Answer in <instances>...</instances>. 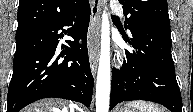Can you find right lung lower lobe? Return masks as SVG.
<instances>
[{
  "label": "right lung lower lobe",
  "instance_id": "98d812e1",
  "mask_svg": "<svg viewBox=\"0 0 193 112\" xmlns=\"http://www.w3.org/2000/svg\"><path fill=\"white\" fill-rule=\"evenodd\" d=\"M89 20L87 0L62 19L16 39L7 112H19L28 104L48 97L77 101L86 107L90 105L94 80L86 43ZM64 26H71L68 35L75 41H67L69 46L62 44L63 51L58 56L59 38L67 34Z\"/></svg>",
  "mask_w": 193,
  "mask_h": 112
}]
</instances>
